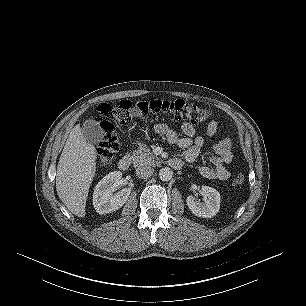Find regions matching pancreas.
Instances as JSON below:
<instances>
[{
    "instance_id": "obj_1",
    "label": "pancreas",
    "mask_w": 306,
    "mask_h": 306,
    "mask_svg": "<svg viewBox=\"0 0 306 306\" xmlns=\"http://www.w3.org/2000/svg\"><path fill=\"white\" fill-rule=\"evenodd\" d=\"M132 162L135 166L155 165L157 158L151 153L146 145H140L137 150L131 154Z\"/></svg>"
}]
</instances>
